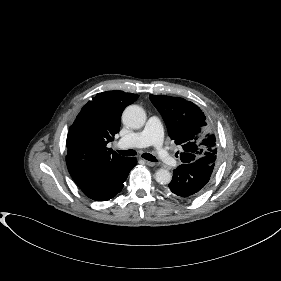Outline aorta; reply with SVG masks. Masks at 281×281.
Masks as SVG:
<instances>
[{"label":"aorta","instance_id":"aorta-1","mask_svg":"<svg viewBox=\"0 0 281 281\" xmlns=\"http://www.w3.org/2000/svg\"><path fill=\"white\" fill-rule=\"evenodd\" d=\"M122 120L126 126L139 129L146 121V114L140 106L130 105L124 110ZM155 179L160 184H168L171 182L172 175L166 169H158L155 173Z\"/></svg>","mask_w":281,"mask_h":281}]
</instances>
